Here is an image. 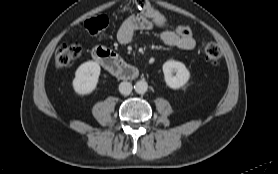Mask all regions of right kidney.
Wrapping results in <instances>:
<instances>
[{
    "label": "right kidney",
    "instance_id": "ca27d5eb",
    "mask_svg": "<svg viewBox=\"0 0 278 174\" xmlns=\"http://www.w3.org/2000/svg\"><path fill=\"white\" fill-rule=\"evenodd\" d=\"M99 75L100 66L97 62L87 61L81 64L72 83L74 91L79 95L90 94L96 88Z\"/></svg>",
    "mask_w": 278,
    "mask_h": 174
}]
</instances>
